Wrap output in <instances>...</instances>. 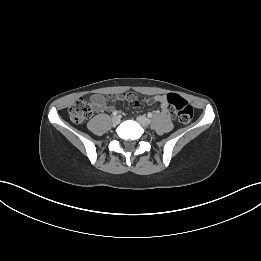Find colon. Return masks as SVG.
Returning <instances> with one entry per match:
<instances>
[{"label": "colon", "instance_id": "colon-1", "mask_svg": "<svg viewBox=\"0 0 261 261\" xmlns=\"http://www.w3.org/2000/svg\"><path fill=\"white\" fill-rule=\"evenodd\" d=\"M165 101L169 107V112L173 113L182 124L189 123L193 118L192 106L177 94H168ZM69 116L74 123H82L92 114L91 105L83 99L74 101L69 107Z\"/></svg>", "mask_w": 261, "mask_h": 261}]
</instances>
